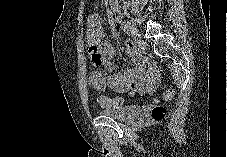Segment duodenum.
<instances>
[{"instance_id":"obj_1","label":"duodenum","mask_w":227,"mask_h":157,"mask_svg":"<svg viewBox=\"0 0 227 157\" xmlns=\"http://www.w3.org/2000/svg\"><path fill=\"white\" fill-rule=\"evenodd\" d=\"M110 8H111V11H112L114 17L116 19H119V15H120L119 9H118V6L116 5V3L113 0L110 1Z\"/></svg>"}]
</instances>
